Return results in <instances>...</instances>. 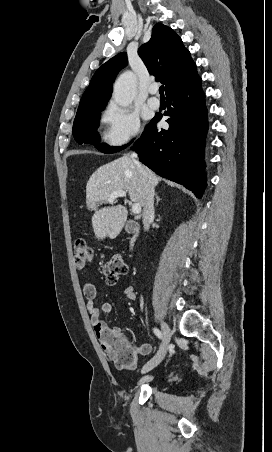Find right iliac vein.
Returning <instances> with one entry per match:
<instances>
[{
    "label": "right iliac vein",
    "mask_w": 272,
    "mask_h": 452,
    "mask_svg": "<svg viewBox=\"0 0 272 452\" xmlns=\"http://www.w3.org/2000/svg\"><path fill=\"white\" fill-rule=\"evenodd\" d=\"M161 327H162V331H163L161 346H160L158 352L156 353V355L142 367V370H141L142 374H145V373L151 371L156 366H158L163 361V359L167 353L168 345L170 343V339H171V335H172V330L169 327V325L164 321L161 322Z\"/></svg>",
    "instance_id": "right-iliac-vein-1"
}]
</instances>
